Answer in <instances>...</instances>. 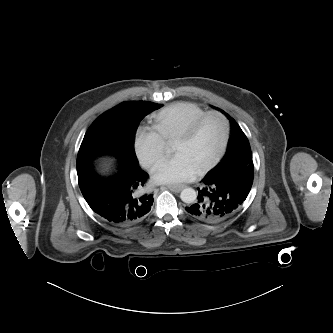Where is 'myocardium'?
<instances>
[{
	"label": "myocardium",
	"instance_id": "myocardium-1",
	"mask_svg": "<svg viewBox=\"0 0 333 333\" xmlns=\"http://www.w3.org/2000/svg\"><path fill=\"white\" fill-rule=\"evenodd\" d=\"M210 116H217L223 121L224 137H223V142H222L219 152L209 163H207L205 166H203L202 168H200L197 171V173L199 175L204 174V173L208 172L209 170H211L212 168H214L220 162L222 157L224 156V154L227 150L229 141H230V137H231V123H230L229 118L223 112L218 111V110H212V111L205 112L204 114H202L201 116L196 118L175 139V140H181V141L190 140L195 135V133L197 132L200 125Z\"/></svg>",
	"mask_w": 333,
	"mask_h": 333
}]
</instances>
